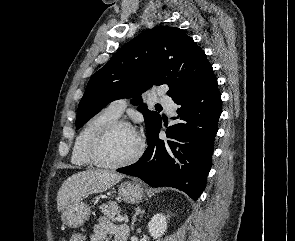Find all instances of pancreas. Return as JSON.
<instances>
[{"instance_id": "obj_1", "label": "pancreas", "mask_w": 295, "mask_h": 241, "mask_svg": "<svg viewBox=\"0 0 295 241\" xmlns=\"http://www.w3.org/2000/svg\"><path fill=\"white\" fill-rule=\"evenodd\" d=\"M101 212L111 221H116V215H119L121 209H119L116 202H109L100 206Z\"/></svg>"}]
</instances>
